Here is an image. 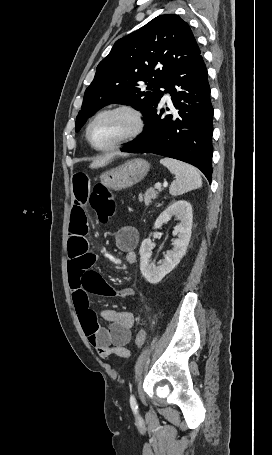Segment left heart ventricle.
I'll list each match as a JSON object with an SVG mask.
<instances>
[{
	"label": "left heart ventricle",
	"mask_w": 272,
	"mask_h": 455,
	"mask_svg": "<svg viewBox=\"0 0 272 455\" xmlns=\"http://www.w3.org/2000/svg\"><path fill=\"white\" fill-rule=\"evenodd\" d=\"M132 119L125 113L101 116L91 128V139L97 147H107L125 136L132 128Z\"/></svg>",
	"instance_id": "1"
}]
</instances>
